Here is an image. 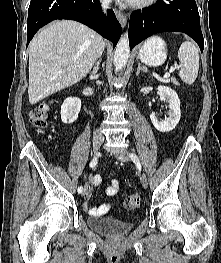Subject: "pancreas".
<instances>
[{
	"mask_svg": "<svg viewBox=\"0 0 221 263\" xmlns=\"http://www.w3.org/2000/svg\"><path fill=\"white\" fill-rule=\"evenodd\" d=\"M169 81L172 82L173 84H175L176 86H179V85H180L179 82L177 81V79H175L174 77H171V78L169 79Z\"/></svg>",
	"mask_w": 221,
	"mask_h": 263,
	"instance_id": "1",
	"label": "pancreas"
}]
</instances>
